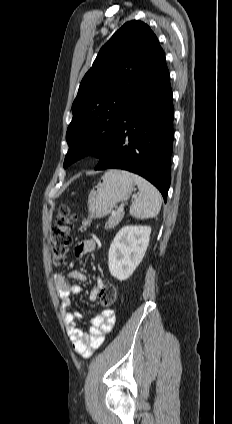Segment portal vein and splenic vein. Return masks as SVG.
I'll return each instance as SVG.
<instances>
[{
  "label": "portal vein and splenic vein",
  "instance_id": "obj_1",
  "mask_svg": "<svg viewBox=\"0 0 232 424\" xmlns=\"http://www.w3.org/2000/svg\"><path fill=\"white\" fill-rule=\"evenodd\" d=\"M123 210H124V208H123V206L121 205V206L118 208V211H119V212H123ZM112 214H115V212H112Z\"/></svg>",
  "mask_w": 232,
  "mask_h": 424
}]
</instances>
